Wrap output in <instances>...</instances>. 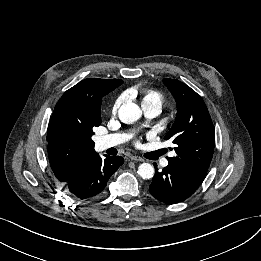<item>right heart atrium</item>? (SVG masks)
Segmentation results:
<instances>
[{
    "label": "right heart atrium",
    "instance_id": "1",
    "mask_svg": "<svg viewBox=\"0 0 261 261\" xmlns=\"http://www.w3.org/2000/svg\"><path fill=\"white\" fill-rule=\"evenodd\" d=\"M125 98H126V94H123L115 100V102L112 105V114L113 115L117 114L118 109H119L120 105L123 103V101L125 100Z\"/></svg>",
    "mask_w": 261,
    "mask_h": 261
}]
</instances>
